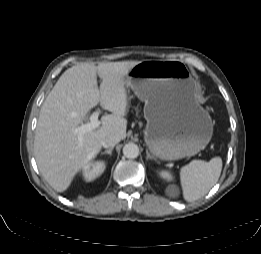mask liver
Wrapping results in <instances>:
<instances>
[{"label": "liver", "instance_id": "6515ba94", "mask_svg": "<svg viewBox=\"0 0 261 254\" xmlns=\"http://www.w3.org/2000/svg\"><path fill=\"white\" fill-rule=\"evenodd\" d=\"M138 63L77 64L60 76L46 97L35 131L34 155L40 173L55 191L67 190L73 177L99 154L104 137L126 138L129 100L125 76ZM99 102L112 114L103 115L100 127L80 137L74 129Z\"/></svg>", "mask_w": 261, "mask_h": 254}]
</instances>
